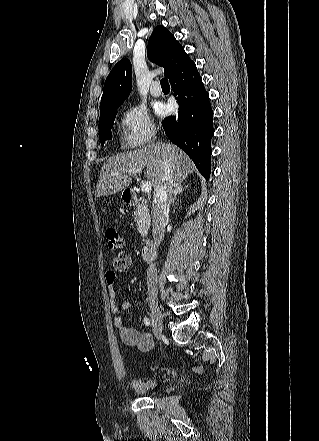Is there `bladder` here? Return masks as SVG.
Segmentation results:
<instances>
[{"label":"bladder","instance_id":"obj_1","mask_svg":"<svg viewBox=\"0 0 319 441\" xmlns=\"http://www.w3.org/2000/svg\"><path fill=\"white\" fill-rule=\"evenodd\" d=\"M133 389L140 395H150L157 387L155 379H135L132 381Z\"/></svg>","mask_w":319,"mask_h":441}]
</instances>
